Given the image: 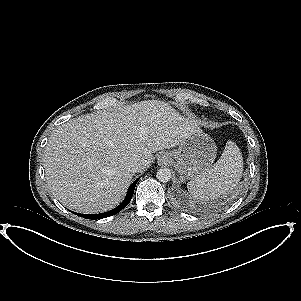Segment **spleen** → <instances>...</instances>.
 Listing matches in <instances>:
<instances>
[{
    "label": "spleen",
    "mask_w": 301,
    "mask_h": 301,
    "mask_svg": "<svg viewBox=\"0 0 301 301\" xmlns=\"http://www.w3.org/2000/svg\"><path fill=\"white\" fill-rule=\"evenodd\" d=\"M242 172L241 152L237 145L228 141L220 159L202 175L188 182L187 188L195 198L212 200L231 193L239 183Z\"/></svg>",
    "instance_id": "3e777b00"
}]
</instances>
